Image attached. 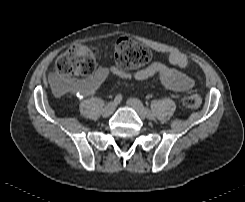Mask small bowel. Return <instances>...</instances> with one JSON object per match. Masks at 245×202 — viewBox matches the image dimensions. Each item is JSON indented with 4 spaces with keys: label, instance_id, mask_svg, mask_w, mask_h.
Instances as JSON below:
<instances>
[{
    "label": "small bowel",
    "instance_id": "c3829d8e",
    "mask_svg": "<svg viewBox=\"0 0 245 202\" xmlns=\"http://www.w3.org/2000/svg\"><path fill=\"white\" fill-rule=\"evenodd\" d=\"M187 66L184 55L178 51H172L168 55V62L156 59L148 66L136 70H124L117 65L110 68L99 67L86 81L76 83V90L72 91V97L95 93L105 83L110 74L120 78L143 81L157 78L164 87L174 92H186L192 88L194 80L187 74L178 70ZM78 94V95H77Z\"/></svg>",
    "mask_w": 245,
    "mask_h": 202
}]
</instances>
